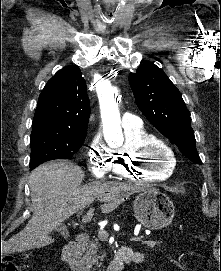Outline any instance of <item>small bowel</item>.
Here are the masks:
<instances>
[{
	"label": "small bowel",
	"mask_w": 221,
	"mask_h": 271,
	"mask_svg": "<svg viewBox=\"0 0 221 271\" xmlns=\"http://www.w3.org/2000/svg\"><path fill=\"white\" fill-rule=\"evenodd\" d=\"M132 253H133L134 258H137V257H139V256H142V254H141L140 252H133V251H132Z\"/></svg>",
	"instance_id": "1"
}]
</instances>
